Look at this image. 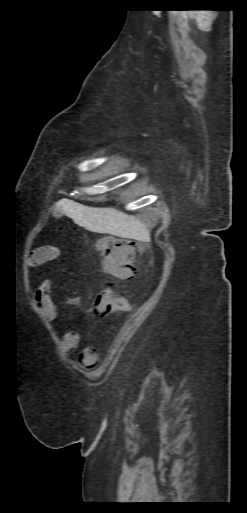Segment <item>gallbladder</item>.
I'll return each mask as SVG.
<instances>
[{"label": "gallbladder", "instance_id": "bac80fb5", "mask_svg": "<svg viewBox=\"0 0 247 513\" xmlns=\"http://www.w3.org/2000/svg\"><path fill=\"white\" fill-rule=\"evenodd\" d=\"M53 214H54V216H55L56 218H60L61 216H63V213H62V212H60V211H55V212H53Z\"/></svg>", "mask_w": 247, "mask_h": 513}]
</instances>
